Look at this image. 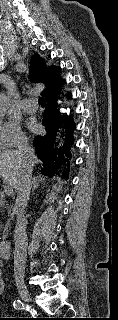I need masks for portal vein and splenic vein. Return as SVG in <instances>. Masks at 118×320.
Segmentation results:
<instances>
[{
  "mask_svg": "<svg viewBox=\"0 0 118 320\" xmlns=\"http://www.w3.org/2000/svg\"><path fill=\"white\" fill-rule=\"evenodd\" d=\"M4 192L6 195H12L13 194V187L10 184H5L4 186Z\"/></svg>",
  "mask_w": 118,
  "mask_h": 320,
  "instance_id": "obj_1",
  "label": "portal vein and splenic vein"
}]
</instances>
